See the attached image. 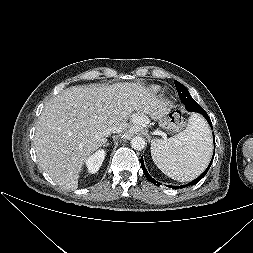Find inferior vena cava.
Here are the masks:
<instances>
[{"mask_svg":"<svg viewBox=\"0 0 253 253\" xmlns=\"http://www.w3.org/2000/svg\"><path fill=\"white\" fill-rule=\"evenodd\" d=\"M116 132H120V129L118 128H109L106 130V134H111V133H116Z\"/></svg>","mask_w":253,"mask_h":253,"instance_id":"inferior-vena-cava-1","label":"inferior vena cava"}]
</instances>
